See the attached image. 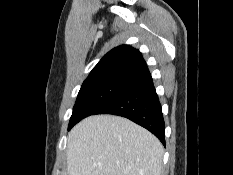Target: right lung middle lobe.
I'll return each instance as SVG.
<instances>
[{
  "label": "right lung middle lobe",
  "mask_w": 233,
  "mask_h": 175,
  "mask_svg": "<svg viewBox=\"0 0 233 175\" xmlns=\"http://www.w3.org/2000/svg\"><path fill=\"white\" fill-rule=\"evenodd\" d=\"M133 80L124 76H104L86 79L78 93L68 129L70 130L83 118L92 115Z\"/></svg>",
  "instance_id": "dd1d6c3e"
}]
</instances>
